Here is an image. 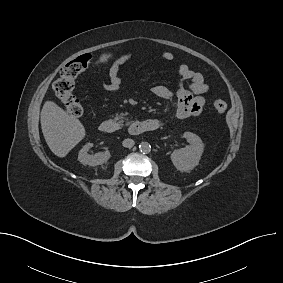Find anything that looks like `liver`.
I'll use <instances>...</instances> for the list:
<instances>
[{
	"instance_id": "liver-1",
	"label": "liver",
	"mask_w": 283,
	"mask_h": 283,
	"mask_svg": "<svg viewBox=\"0 0 283 283\" xmlns=\"http://www.w3.org/2000/svg\"><path fill=\"white\" fill-rule=\"evenodd\" d=\"M41 128L47 145L58 157H65L86 135L83 124L53 101L43 105Z\"/></svg>"
}]
</instances>
